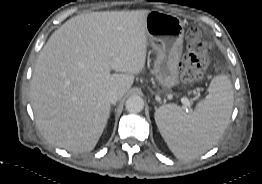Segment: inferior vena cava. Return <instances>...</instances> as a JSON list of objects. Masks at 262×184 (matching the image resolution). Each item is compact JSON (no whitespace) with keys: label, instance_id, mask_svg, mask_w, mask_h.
Masks as SVG:
<instances>
[{"label":"inferior vena cava","instance_id":"602c4592","mask_svg":"<svg viewBox=\"0 0 262 184\" xmlns=\"http://www.w3.org/2000/svg\"><path fill=\"white\" fill-rule=\"evenodd\" d=\"M120 99V94L117 90H109L106 93V101L109 104H115Z\"/></svg>","mask_w":262,"mask_h":184}]
</instances>
